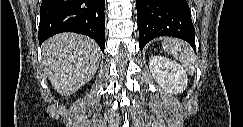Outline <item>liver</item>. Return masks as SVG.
Wrapping results in <instances>:
<instances>
[{
    "mask_svg": "<svg viewBox=\"0 0 243 127\" xmlns=\"http://www.w3.org/2000/svg\"><path fill=\"white\" fill-rule=\"evenodd\" d=\"M100 49L87 36L57 34L42 45V63L50 83L62 96H69L89 82L97 71Z\"/></svg>",
    "mask_w": 243,
    "mask_h": 127,
    "instance_id": "1",
    "label": "liver"
}]
</instances>
